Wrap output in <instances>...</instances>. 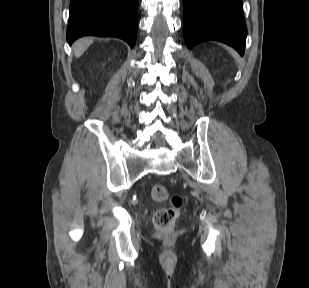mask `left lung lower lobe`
<instances>
[{
  "instance_id": "1",
  "label": "left lung lower lobe",
  "mask_w": 309,
  "mask_h": 288,
  "mask_svg": "<svg viewBox=\"0 0 309 288\" xmlns=\"http://www.w3.org/2000/svg\"><path fill=\"white\" fill-rule=\"evenodd\" d=\"M184 38L188 48L217 40L244 55L247 27L242 0H183Z\"/></svg>"
}]
</instances>
